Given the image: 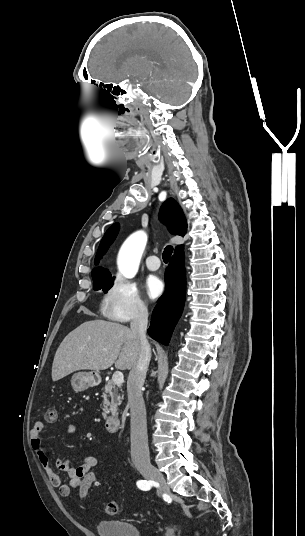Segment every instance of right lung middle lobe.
<instances>
[{
	"label": "right lung middle lobe",
	"instance_id": "right-lung-middle-lobe-1",
	"mask_svg": "<svg viewBox=\"0 0 305 536\" xmlns=\"http://www.w3.org/2000/svg\"><path fill=\"white\" fill-rule=\"evenodd\" d=\"M94 289H102L106 293L114 284L112 277L103 278V279H93Z\"/></svg>",
	"mask_w": 305,
	"mask_h": 536
}]
</instances>
